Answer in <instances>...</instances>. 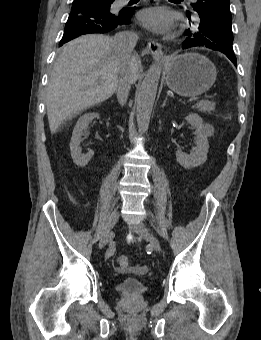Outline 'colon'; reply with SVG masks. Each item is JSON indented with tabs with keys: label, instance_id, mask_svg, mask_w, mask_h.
Instances as JSON below:
<instances>
[{
	"label": "colon",
	"instance_id": "1",
	"mask_svg": "<svg viewBox=\"0 0 261 340\" xmlns=\"http://www.w3.org/2000/svg\"><path fill=\"white\" fill-rule=\"evenodd\" d=\"M129 267V259L127 256H119L114 262V269L124 271Z\"/></svg>",
	"mask_w": 261,
	"mask_h": 340
}]
</instances>
